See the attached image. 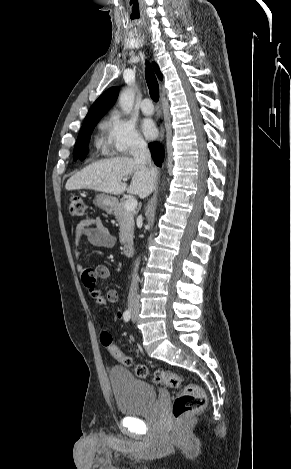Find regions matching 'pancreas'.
Wrapping results in <instances>:
<instances>
[{
    "mask_svg": "<svg viewBox=\"0 0 291 469\" xmlns=\"http://www.w3.org/2000/svg\"><path fill=\"white\" fill-rule=\"evenodd\" d=\"M134 211H127L125 202H120L114 209V216L119 223V238L122 244L132 243L134 231Z\"/></svg>",
    "mask_w": 291,
    "mask_h": 469,
    "instance_id": "1",
    "label": "pancreas"
}]
</instances>
